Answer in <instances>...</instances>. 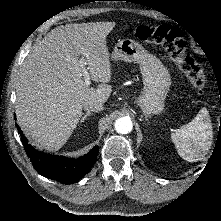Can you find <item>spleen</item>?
<instances>
[{"mask_svg": "<svg viewBox=\"0 0 221 221\" xmlns=\"http://www.w3.org/2000/svg\"><path fill=\"white\" fill-rule=\"evenodd\" d=\"M171 139L179 155L188 162L201 160L213 142L212 123L207 109L202 108L195 118L181 126Z\"/></svg>", "mask_w": 221, "mask_h": 221, "instance_id": "spleen-1", "label": "spleen"}]
</instances>
